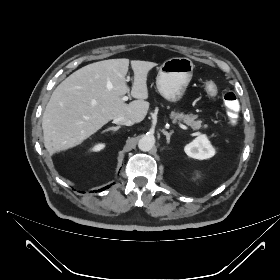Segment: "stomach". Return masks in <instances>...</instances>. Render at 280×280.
<instances>
[{
	"label": "stomach",
	"instance_id": "obj_1",
	"mask_svg": "<svg viewBox=\"0 0 280 280\" xmlns=\"http://www.w3.org/2000/svg\"><path fill=\"white\" fill-rule=\"evenodd\" d=\"M193 69V62L189 58L175 57L166 60L156 77L160 95L172 103L180 101L192 79Z\"/></svg>",
	"mask_w": 280,
	"mask_h": 280
}]
</instances>
